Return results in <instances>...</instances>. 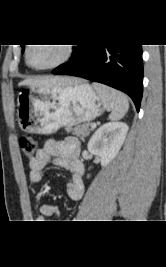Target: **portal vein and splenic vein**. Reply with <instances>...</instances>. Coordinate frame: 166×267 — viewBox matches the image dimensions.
<instances>
[{
  "instance_id": "1",
  "label": "portal vein and splenic vein",
  "mask_w": 166,
  "mask_h": 267,
  "mask_svg": "<svg viewBox=\"0 0 166 267\" xmlns=\"http://www.w3.org/2000/svg\"><path fill=\"white\" fill-rule=\"evenodd\" d=\"M91 128L95 129L96 128V124H91Z\"/></svg>"
}]
</instances>
